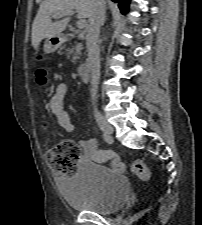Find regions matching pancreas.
<instances>
[{
  "label": "pancreas",
  "mask_w": 202,
  "mask_h": 225,
  "mask_svg": "<svg viewBox=\"0 0 202 225\" xmlns=\"http://www.w3.org/2000/svg\"><path fill=\"white\" fill-rule=\"evenodd\" d=\"M83 49L81 43H76L71 49L67 50L69 55H73V62L75 63L77 59H79V55H81V50Z\"/></svg>",
  "instance_id": "cf45deb5"
}]
</instances>
